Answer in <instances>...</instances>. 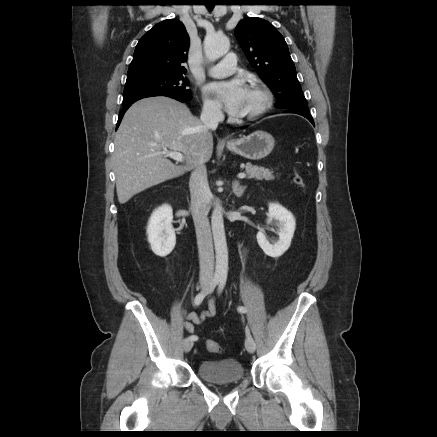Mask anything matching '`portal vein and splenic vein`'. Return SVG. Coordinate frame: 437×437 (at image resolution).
<instances>
[{"label": "portal vein and splenic vein", "mask_w": 437, "mask_h": 437, "mask_svg": "<svg viewBox=\"0 0 437 437\" xmlns=\"http://www.w3.org/2000/svg\"><path fill=\"white\" fill-rule=\"evenodd\" d=\"M163 154L167 157L172 158L173 160L177 161V162H183L184 157L183 154L180 152H176V151H169L167 149H163ZM246 177L245 173H239L238 174V178L243 179Z\"/></svg>", "instance_id": "portal-vein-and-splenic-vein-1"}]
</instances>
